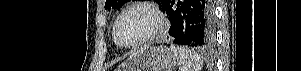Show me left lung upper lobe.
Instances as JSON below:
<instances>
[{
    "label": "left lung upper lobe",
    "mask_w": 301,
    "mask_h": 71,
    "mask_svg": "<svg viewBox=\"0 0 301 71\" xmlns=\"http://www.w3.org/2000/svg\"><path fill=\"white\" fill-rule=\"evenodd\" d=\"M128 0H106L105 9L110 10L111 8L120 9L124 3ZM157 3H162V7L167 3L168 0H155Z\"/></svg>",
    "instance_id": "1"
}]
</instances>
